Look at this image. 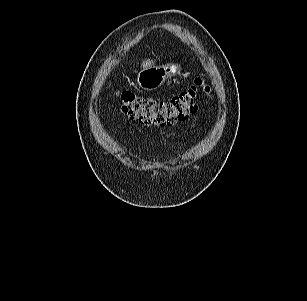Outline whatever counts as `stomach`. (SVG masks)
Returning a JSON list of instances; mask_svg holds the SVG:
<instances>
[{
    "mask_svg": "<svg viewBox=\"0 0 307 301\" xmlns=\"http://www.w3.org/2000/svg\"><path fill=\"white\" fill-rule=\"evenodd\" d=\"M181 66L168 64L164 66H150L141 70L137 75V85L147 91L159 88L167 78L180 74Z\"/></svg>",
    "mask_w": 307,
    "mask_h": 301,
    "instance_id": "0dacf381",
    "label": "stomach"
}]
</instances>
